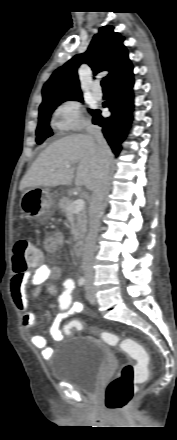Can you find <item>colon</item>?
Segmentation results:
<instances>
[{"label":"colon","mask_w":177,"mask_h":440,"mask_svg":"<svg viewBox=\"0 0 177 440\" xmlns=\"http://www.w3.org/2000/svg\"><path fill=\"white\" fill-rule=\"evenodd\" d=\"M41 251L28 238L18 239L13 247V269L15 272H25L30 267L42 262ZM83 329L82 322L73 318L63 327L67 335ZM101 339L112 347L119 348L130 354L137 363H126L117 376L108 384L104 393V403L107 409L119 411L132 401L138 383L143 382L148 375L145 363L148 360L146 349L136 341L120 337L110 332H99Z\"/></svg>","instance_id":"5ec220e1"}]
</instances>
